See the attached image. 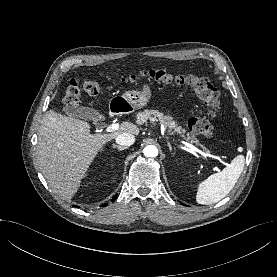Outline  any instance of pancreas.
<instances>
[{
    "label": "pancreas",
    "instance_id": "1",
    "mask_svg": "<svg viewBox=\"0 0 277 277\" xmlns=\"http://www.w3.org/2000/svg\"><path fill=\"white\" fill-rule=\"evenodd\" d=\"M150 120L151 122L159 121L160 123H163L165 128L168 129V132L171 134H179L184 139L190 141L191 143H194L198 146L203 145L198 141V139L190 133H186V130L183 129L176 121L173 120V118L170 115H163V113L157 111V110H145L142 113H139L137 115V123L143 124L145 121ZM203 150H208L207 148L203 147Z\"/></svg>",
    "mask_w": 277,
    "mask_h": 277
}]
</instances>
